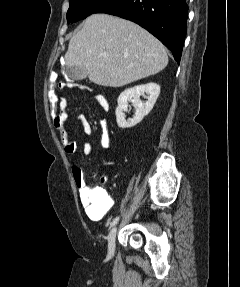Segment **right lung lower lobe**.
Listing matches in <instances>:
<instances>
[{"mask_svg":"<svg viewBox=\"0 0 240 287\" xmlns=\"http://www.w3.org/2000/svg\"><path fill=\"white\" fill-rule=\"evenodd\" d=\"M94 13L133 21L158 38L180 63L187 33L186 0H107Z\"/></svg>","mask_w":240,"mask_h":287,"instance_id":"98d812e1","label":"right lung lower lobe"}]
</instances>
